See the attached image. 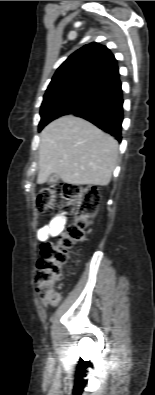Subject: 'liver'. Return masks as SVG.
Listing matches in <instances>:
<instances>
[{"label": "liver", "instance_id": "6515ba94", "mask_svg": "<svg viewBox=\"0 0 155 395\" xmlns=\"http://www.w3.org/2000/svg\"><path fill=\"white\" fill-rule=\"evenodd\" d=\"M118 159V142L73 115L49 123L40 134L37 183L51 174L72 185L109 184Z\"/></svg>", "mask_w": 155, "mask_h": 395}]
</instances>
